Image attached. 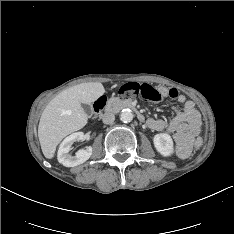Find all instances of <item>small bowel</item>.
<instances>
[{
	"mask_svg": "<svg viewBox=\"0 0 234 234\" xmlns=\"http://www.w3.org/2000/svg\"><path fill=\"white\" fill-rule=\"evenodd\" d=\"M164 96L175 99L183 104L182 109L174 108L175 116L171 121L149 118L147 126L156 131H167L173 134L176 152L180 157L189 155L194 138L200 132L201 117L195 104L186 100L176 89L167 90ZM160 100V99H159Z\"/></svg>",
	"mask_w": 234,
	"mask_h": 234,
	"instance_id": "obj_1",
	"label": "small bowel"
}]
</instances>
